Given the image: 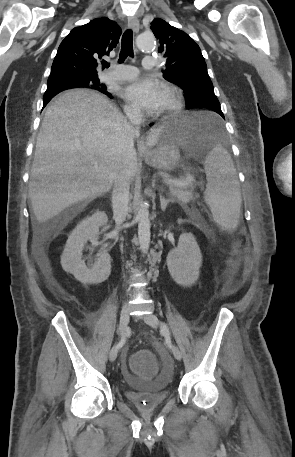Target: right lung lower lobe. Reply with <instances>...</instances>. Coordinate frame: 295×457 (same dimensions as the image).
Masks as SVG:
<instances>
[{
  "label": "right lung lower lobe",
  "instance_id": "right-lung-lower-lobe-1",
  "mask_svg": "<svg viewBox=\"0 0 295 457\" xmlns=\"http://www.w3.org/2000/svg\"><path fill=\"white\" fill-rule=\"evenodd\" d=\"M78 87H83V84H75L71 82H53V83H48L47 89H53V90H66L70 88H78ZM104 94H106L108 97L112 98V95L106 91V89H101L98 90ZM49 100H43L44 106L48 103Z\"/></svg>",
  "mask_w": 295,
  "mask_h": 457
}]
</instances>
